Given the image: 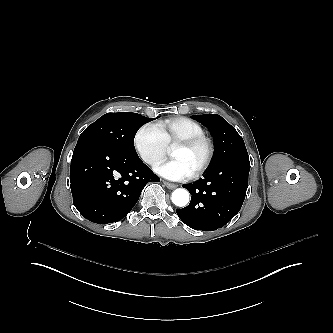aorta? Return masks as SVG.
<instances>
[{
  "label": "aorta",
  "mask_w": 333,
  "mask_h": 333,
  "mask_svg": "<svg viewBox=\"0 0 333 333\" xmlns=\"http://www.w3.org/2000/svg\"><path fill=\"white\" fill-rule=\"evenodd\" d=\"M171 200L177 207H184L189 203V192L185 189L178 188L173 191Z\"/></svg>",
  "instance_id": "obj_1"
}]
</instances>
